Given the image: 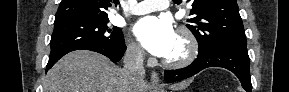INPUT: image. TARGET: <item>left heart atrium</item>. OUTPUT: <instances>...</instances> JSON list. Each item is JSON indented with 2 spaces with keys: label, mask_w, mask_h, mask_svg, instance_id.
I'll use <instances>...</instances> for the list:
<instances>
[{
  "label": "left heart atrium",
  "mask_w": 289,
  "mask_h": 92,
  "mask_svg": "<svg viewBox=\"0 0 289 92\" xmlns=\"http://www.w3.org/2000/svg\"><path fill=\"white\" fill-rule=\"evenodd\" d=\"M133 33L148 52L164 58L171 52L177 38L171 22L155 16L140 19L134 25Z\"/></svg>",
  "instance_id": "39dd6f15"
}]
</instances>
